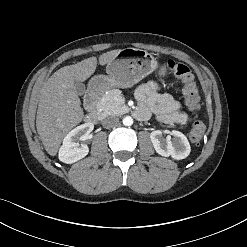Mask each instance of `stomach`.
I'll list each match as a JSON object with an SVG mask.
<instances>
[{"mask_svg": "<svg viewBox=\"0 0 247 247\" xmlns=\"http://www.w3.org/2000/svg\"><path fill=\"white\" fill-rule=\"evenodd\" d=\"M157 67V61L147 51L125 48L107 64V75L94 76L90 85L101 90L112 87L128 88L155 71ZM165 73L164 68L159 71L161 76Z\"/></svg>", "mask_w": 247, "mask_h": 247, "instance_id": "obj_1", "label": "stomach"}]
</instances>
